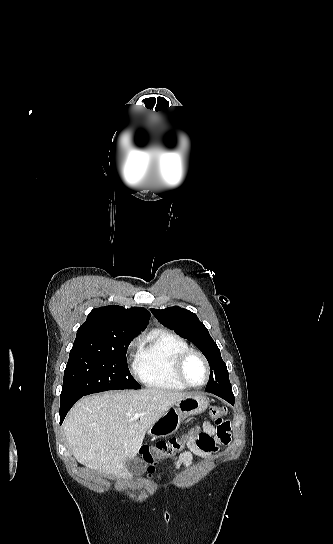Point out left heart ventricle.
Listing matches in <instances>:
<instances>
[{"instance_id":"obj_1","label":"left heart ventricle","mask_w":333,"mask_h":544,"mask_svg":"<svg viewBox=\"0 0 333 544\" xmlns=\"http://www.w3.org/2000/svg\"><path fill=\"white\" fill-rule=\"evenodd\" d=\"M185 376L194 385H200L205 381L206 369L200 358L193 356L187 361Z\"/></svg>"}]
</instances>
